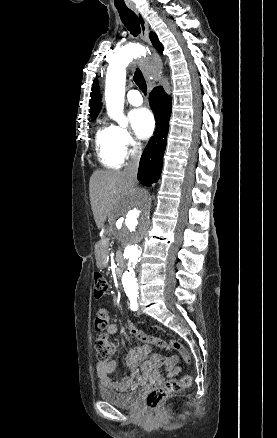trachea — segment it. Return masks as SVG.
<instances>
[{"label":"trachea","instance_id":"obj_1","mask_svg":"<svg viewBox=\"0 0 277 438\" xmlns=\"http://www.w3.org/2000/svg\"><path fill=\"white\" fill-rule=\"evenodd\" d=\"M121 20L127 30L136 37L140 34V24L137 15L128 7L117 8ZM133 80L144 94L147 92V84L145 78L139 68L136 69Z\"/></svg>","mask_w":277,"mask_h":438}]
</instances>
